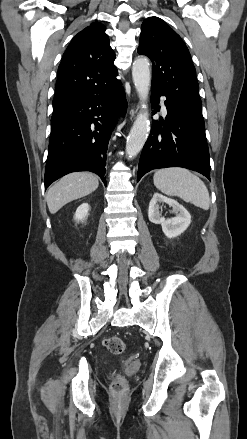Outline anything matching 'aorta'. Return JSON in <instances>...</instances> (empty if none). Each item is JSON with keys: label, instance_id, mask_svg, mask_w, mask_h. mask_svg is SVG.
<instances>
[{"label": "aorta", "instance_id": "762f6f07", "mask_svg": "<svg viewBox=\"0 0 247 439\" xmlns=\"http://www.w3.org/2000/svg\"><path fill=\"white\" fill-rule=\"evenodd\" d=\"M132 78L139 98L142 101V111L138 114L127 138L126 154L128 159L136 157L142 150L150 131L149 115L147 105L145 104L151 84L150 62L148 58L139 57L133 62Z\"/></svg>", "mask_w": 247, "mask_h": 439}]
</instances>
